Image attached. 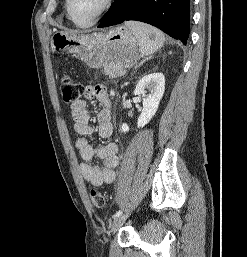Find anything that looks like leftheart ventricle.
Listing matches in <instances>:
<instances>
[{
  "instance_id": "obj_1",
  "label": "left heart ventricle",
  "mask_w": 247,
  "mask_h": 257,
  "mask_svg": "<svg viewBox=\"0 0 247 257\" xmlns=\"http://www.w3.org/2000/svg\"><path fill=\"white\" fill-rule=\"evenodd\" d=\"M104 0H71L72 16L80 23L89 22L101 9Z\"/></svg>"
}]
</instances>
